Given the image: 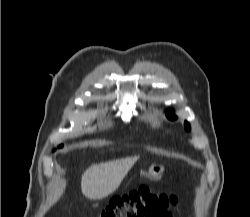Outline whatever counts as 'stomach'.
<instances>
[{"label":"stomach","instance_id":"obj_1","mask_svg":"<svg viewBox=\"0 0 250 217\" xmlns=\"http://www.w3.org/2000/svg\"><path fill=\"white\" fill-rule=\"evenodd\" d=\"M162 172V168L160 166H156V165H152L150 168H149V172H148V175L150 177H158L160 176Z\"/></svg>","mask_w":250,"mask_h":217}]
</instances>
